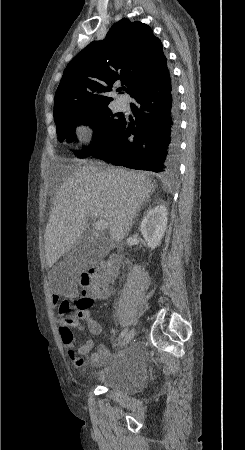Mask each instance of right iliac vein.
<instances>
[{"label":"right iliac vein","mask_w":245,"mask_h":450,"mask_svg":"<svg viewBox=\"0 0 245 450\" xmlns=\"http://www.w3.org/2000/svg\"><path fill=\"white\" fill-rule=\"evenodd\" d=\"M135 334H136V330H135L134 328L131 329V330L127 333V335L125 336V338H124V340H123V342H122V344H121L120 347H122V346L128 344V343L134 338Z\"/></svg>","instance_id":"63e3f726"}]
</instances>
